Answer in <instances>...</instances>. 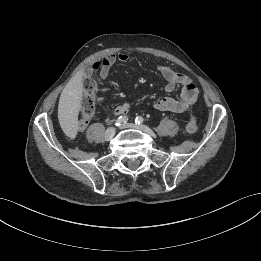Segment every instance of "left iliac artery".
<instances>
[{"mask_svg":"<svg viewBox=\"0 0 261 261\" xmlns=\"http://www.w3.org/2000/svg\"><path fill=\"white\" fill-rule=\"evenodd\" d=\"M144 122V119L143 117L141 116H137L136 119H135V123L136 124H142Z\"/></svg>","mask_w":261,"mask_h":261,"instance_id":"44dca946","label":"left iliac artery"}]
</instances>
